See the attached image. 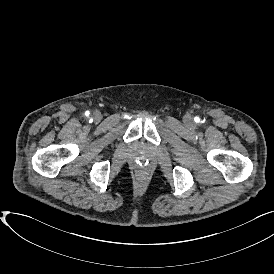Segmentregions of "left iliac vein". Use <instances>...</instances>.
Instances as JSON below:
<instances>
[{
	"label": "left iliac vein",
	"mask_w": 274,
	"mask_h": 274,
	"mask_svg": "<svg viewBox=\"0 0 274 274\" xmlns=\"http://www.w3.org/2000/svg\"><path fill=\"white\" fill-rule=\"evenodd\" d=\"M192 117L189 116V115H186L185 118H184V122L187 124V125H191L192 124Z\"/></svg>",
	"instance_id": "obj_1"
}]
</instances>
